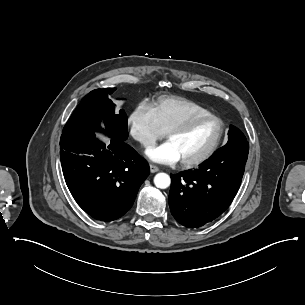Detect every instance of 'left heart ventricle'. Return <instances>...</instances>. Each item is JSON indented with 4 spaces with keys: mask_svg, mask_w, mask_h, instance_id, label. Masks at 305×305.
Wrapping results in <instances>:
<instances>
[{
    "mask_svg": "<svg viewBox=\"0 0 305 305\" xmlns=\"http://www.w3.org/2000/svg\"><path fill=\"white\" fill-rule=\"evenodd\" d=\"M220 130L219 120L211 118L184 131L171 133L167 139L179 151L181 160H191L201 156L216 142Z\"/></svg>",
    "mask_w": 305,
    "mask_h": 305,
    "instance_id": "b2bd125f",
    "label": "left heart ventricle"
}]
</instances>
